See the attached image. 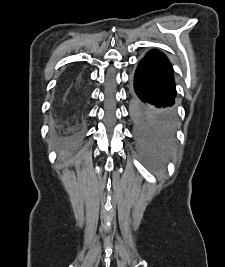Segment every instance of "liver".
Masks as SVG:
<instances>
[{
  "instance_id": "1",
  "label": "liver",
  "mask_w": 225,
  "mask_h": 267,
  "mask_svg": "<svg viewBox=\"0 0 225 267\" xmlns=\"http://www.w3.org/2000/svg\"><path fill=\"white\" fill-rule=\"evenodd\" d=\"M60 155H61V157L63 158V157H65V156L67 155V153L64 152V151H61V152H60Z\"/></svg>"
}]
</instances>
